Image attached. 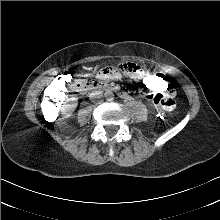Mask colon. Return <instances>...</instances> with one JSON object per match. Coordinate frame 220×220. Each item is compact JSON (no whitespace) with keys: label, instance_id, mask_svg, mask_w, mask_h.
Returning <instances> with one entry per match:
<instances>
[{"label":"colon","instance_id":"1","mask_svg":"<svg viewBox=\"0 0 220 220\" xmlns=\"http://www.w3.org/2000/svg\"><path fill=\"white\" fill-rule=\"evenodd\" d=\"M139 73L134 76H129L134 86L138 88H146L156 94L151 95L150 99L158 107L155 115L159 121L165 122L171 118V110L174 108L175 102L173 96L163 95L170 86V81L167 76L153 69L146 70L139 66ZM73 74L66 73L55 79L50 87V93L44 100L43 110L45 112L54 111L61 101V94L65 83L71 79ZM61 79V80H60ZM91 80L87 82L91 85Z\"/></svg>","mask_w":220,"mask_h":220}]
</instances>
